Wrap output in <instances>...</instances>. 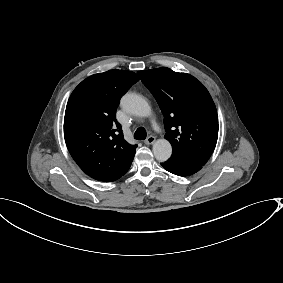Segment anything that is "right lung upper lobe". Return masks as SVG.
<instances>
[{
    "label": "right lung upper lobe",
    "instance_id": "1",
    "mask_svg": "<svg viewBox=\"0 0 283 283\" xmlns=\"http://www.w3.org/2000/svg\"><path fill=\"white\" fill-rule=\"evenodd\" d=\"M131 71L109 70L91 75L72 92L64 118L67 148L90 177L104 182L124 175L137 145L128 144L116 120L121 96L137 81Z\"/></svg>",
    "mask_w": 283,
    "mask_h": 283
}]
</instances>
